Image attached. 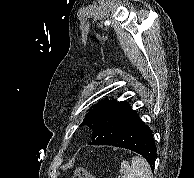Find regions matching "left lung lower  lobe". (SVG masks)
<instances>
[{
    "label": "left lung lower lobe",
    "mask_w": 194,
    "mask_h": 178,
    "mask_svg": "<svg viewBox=\"0 0 194 178\" xmlns=\"http://www.w3.org/2000/svg\"><path fill=\"white\" fill-rule=\"evenodd\" d=\"M89 145H112L142 155L154 169L157 157L152 130L145 125L127 102H120L92 129Z\"/></svg>",
    "instance_id": "obj_1"
}]
</instances>
